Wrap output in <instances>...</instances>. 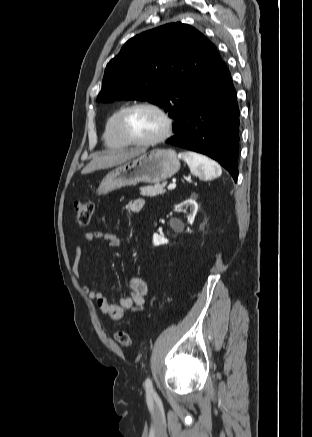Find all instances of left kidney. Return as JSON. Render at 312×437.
<instances>
[{"label": "left kidney", "instance_id": "left-kidney-1", "mask_svg": "<svg viewBox=\"0 0 312 437\" xmlns=\"http://www.w3.org/2000/svg\"><path fill=\"white\" fill-rule=\"evenodd\" d=\"M178 207L180 208L181 211L186 212V209L189 208L190 213L187 216L188 219V223L189 224H193L197 210H198V204L195 200V196L192 195L189 199H186L185 201H183L182 203H180L178 205ZM170 226L173 229H179L181 228V226H183L182 222L178 219H171L170 220ZM168 243V239H166L165 237L158 235L156 233L153 234V244L154 246H159V245H163V244H167Z\"/></svg>", "mask_w": 312, "mask_h": 437}]
</instances>
